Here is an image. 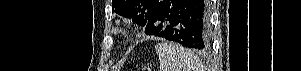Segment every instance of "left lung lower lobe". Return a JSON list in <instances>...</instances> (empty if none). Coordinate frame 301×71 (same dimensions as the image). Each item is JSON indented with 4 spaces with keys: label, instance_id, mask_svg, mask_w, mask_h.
<instances>
[{
    "label": "left lung lower lobe",
    "instance_id": "left-lung-lower-lobe-1",
    "mask_svg": "<svg viewBox=\"0 0 301 71\" xmlns=\"http://www.w3.org/2000/svg\"><path fill=\"white\" fill-rule=\"evenodd\" d=\"M207 0H161L146 25L145 33L175 41L188 48H209Z\"/></svg>",
    "mask_w": 301,
    "mask_h": 71
}]
</instances>
